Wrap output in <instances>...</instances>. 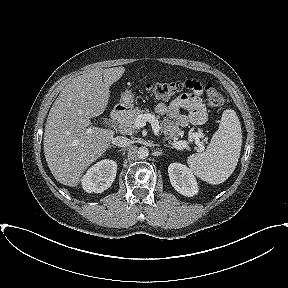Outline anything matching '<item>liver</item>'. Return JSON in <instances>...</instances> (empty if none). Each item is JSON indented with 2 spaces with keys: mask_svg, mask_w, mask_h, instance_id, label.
<instances>
[{
  "mask_svg": "<svg viewBox=\"0 0 288 288\" xmlns=\"http://www.w3.org/2000/svg\"><path fill=\"white\" fill-rule=\"evenodd\" d=\"M124 72V67L90 70L72 79L53 103L43 145L48 167L61 184L77 186L84 171L108 149L114 131L89 127L90 119L105 111L110 86Z\"/></svg>",
  "mask_w": 288,
  "mask_h": 288,
  "instance_id": "1",
  "label": "liver"
}]
</instances>
